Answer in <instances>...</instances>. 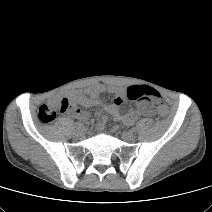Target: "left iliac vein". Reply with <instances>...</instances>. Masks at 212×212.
<instances>
[{
  "label": "left iliac vein",
  "instance_id": "4c4485c4",
  "mask_svg": "<svg viewBox=\"0 0 212 212\" xmlns=\"http://www.w3.org/2000/svg\"><path fill=\"white\" fill-rule=\"evenodd\" d=\"M124 141L131 142L135 139V134L132 131H125L121 134Z\"/></svg>",
  "mask_w": 212,
  "mask_h": 212
}]
</instances>
